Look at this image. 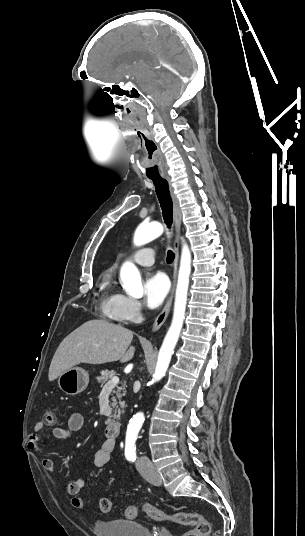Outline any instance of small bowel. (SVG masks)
Returning <instances> with one entry per match:
<instances>
[{"instance_id":"c3829d8e","label":"small bowel","mask_w":305,"mask_h":536,"mask_svg":"<svg viewBox=\"0 0 305 536\" xmlns=\"http://www.w3.org/2000/svg\"><path fill=\"white\" fill-rule=\"evenodd\" d=\"M84 426V417L81 413L75 412L70 415L67 425L65 427H54L52 430L53 437L58 440H67L71 434L81 430ZM45 427H33V432L29 437V448L32 451H38L40 449L41 433ZM115 448V441L112 439H105L100 449L95 453L92 463H85L84 466L100 468L107 465L110 461L111 453ZM42 467L52 473L55 470L54 462L49 458L42 460ZM85 485L83 479H77L70 482L65 489V492L69 495H76L80 493Z\"/></svg>"}]
</instances>
